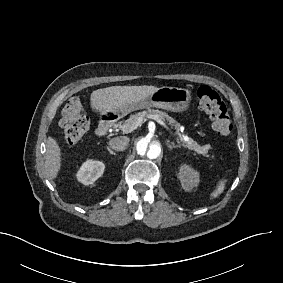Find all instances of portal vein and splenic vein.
Returning a JSON list of instances; mask_svg holds the SVG:
<instances>
[{"mask_svg":"<svg viewBox=\"0 0 283 283\" xmlns=\"http://www.w3.org/2000/svg\"><path fill=\"white\" fill-rule=\"evenodd\" d=\"M148 117L151 118V119H153V120H155L157 123H159L160 125L164 126L165 128H167L166 124H165L160 118H158L157 116H155V115H149ZM141 122H142V121H139L138 123H136L134 126H132V127L130 128L129 131H124L123 129H122V131L125 132V133L131 132V131H133L134 129H136V128L141 124Z\"/></svg>","mask_w":283,"mask_h":283,"instance_id":"portal-vein-and-splenic-vein-1","label":"portal vein and splenic vein"}]
</instances>
